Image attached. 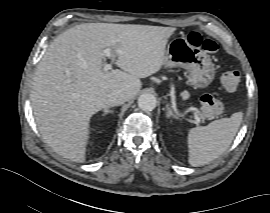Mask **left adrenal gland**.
<instances>
[{
	"label": "left adrenal gland",
	"instance_id": "1",
	"mask_svg": "<svg viewBox=\"0 0 270 213\" xmlns=\"http://www.w3.org/2000/svg\"><path fill=\"white\" fill-rule=\"evenodd\" d=\"M166 116H167V118H170V117L177 118L176 115L169 108V105L168 104L166 106Z\"/></svg>",
	"mask_w": 270,
	"mask_h": 213
}]
</instances>
